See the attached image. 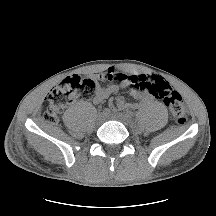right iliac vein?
<instances>
[{"mask_svg": "<svg viewBox=\"0 0 216 216\" xmlns=\"http://www.w3.org/2000/svg\"><path fill=\"white\" fill-rule=\"evenodd\" d=\"M106 120V114L99 113L97 116V121L99 124H102Z\"/></svg>", "mask_w": 216, "mask_h": 216, "instance_id": "63e3f726", "label": "right iliac vein"}]
</instances>
